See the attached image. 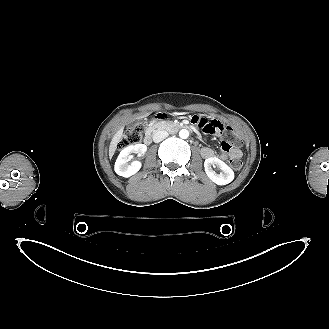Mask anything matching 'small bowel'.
<instances>
[{"mask_svg":"<svg viewBox=\"0 0 329 329\" xmlns=\"http://www.w3.org/2000/svg\"><path fill=\"white\" fill-rule=\"evenodd\" d=\"M187 119H190L191 124H193L194 127L202 130L206 135H217L227 127L226 122H219L217 119L210 120V118L201 114H193L191 117L187 116ZM202 155L204 158H213L214 151L209 147H205L202 149ZM241 155L242 153L239 149H224L220 153L219 158L221 160H226L228 157H240Z\"/></svg>","mask_w":329,"mask_h":329,"instance_id":"1","label":"small bowel"}]
</instances>
